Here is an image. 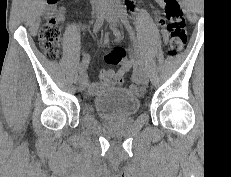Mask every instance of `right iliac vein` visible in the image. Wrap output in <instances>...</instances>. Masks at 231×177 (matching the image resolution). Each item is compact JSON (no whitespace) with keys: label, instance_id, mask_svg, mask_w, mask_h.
Listing matches in <instances>:
<instances>
[{"label":"right iliac vein","instance_id":"63e3f726","mask_svg":"<svg viewBox=\"0 0 231 177\" xmlns=\"http://www.w3.org/2000/svg\"><path fill=\"white\" fill-rule=\"evenodd\" d=\"M98 14H99V12L96 11V12H95V15L98 16ZM86 83H87V77H86V74L83 73V74H81V75L78 77V79H77L78 89H79V90L85 89Z\"/></svg>","mask_w":231,"mask_h":177}]
</instances>
